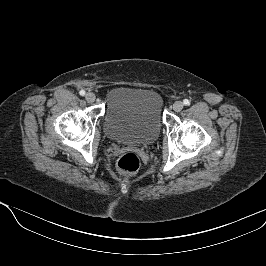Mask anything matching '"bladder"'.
<instances>
[{
	"label": "bladder",
	"mask_w": 266,
	"mask_h": 266,
	"mask_svg": "<svg viewBox=\"0 0 266 266\" xmlns=\"http://www.w3.org/2000/svg\"><path fill=\"white\" fill-rule=\"evenodd\" d=\"M162 107V97L154 89L114 88L106 99L104 132L118 143L150 145L162 128Z\"/></svg>",
	"instance_id": "obj_1"
}]
</instances>
